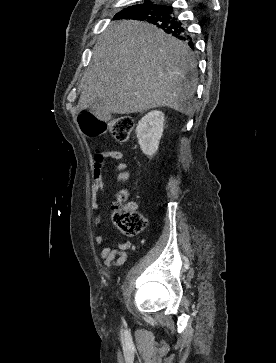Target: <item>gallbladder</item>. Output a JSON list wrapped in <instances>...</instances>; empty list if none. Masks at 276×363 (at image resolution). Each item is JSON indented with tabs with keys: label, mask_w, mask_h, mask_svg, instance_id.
Listing matches in <instances>:
<instances>
[{
	"label": "gallbladder",
	"mask_w": 276,
	"mask_h": 363,
	"mask_svg": "<svg viewBox=\"0 0 276 363\" xmlns=\"http://www.w3.org/2000/svg\"><path fill=\"white\" fill-rule=\"evenodd\" d=\"M89 111L92 114H98L99 120L106 121L109 120L111 114L109 112H105L103 106L99 100H95V102L89 107Z\"/></svg>",
	"instance_id": "obj_1"
}]
</instances>
